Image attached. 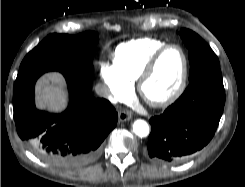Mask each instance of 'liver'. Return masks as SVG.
Returning a JSON list of instances; mask_svg holds the SVG:
<instances>
[{
  "label": "liver",
  "mask_w": 245,
  "mask_h": 187,
  "mask_svg": "<svg viewBox=\"0 0 245 187\" xmlns=\"http://www.w3.org/2000/svg\"><path fill=\"white\" fill-rule=\"evenodd\" d=\"M37 102L40 108L59 112L66 107L67 92L64 82L57 74L43 76L36 85Z\"/></svg>",
  "instance_id": "obj_1"
}]
</instances>
